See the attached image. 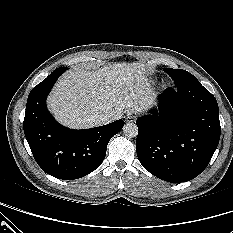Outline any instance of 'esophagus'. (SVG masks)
Instances as JSON below:
<instances>
[{
	"mask_svg": "<svg viewBox=\"0 0 233 233\" xmlns=\"http://www.w3.org/2000/svg\"><path fill=\"white\" fill-rule=\"evenodd\" d=\"M125 121L128 122V123L135 122V121H136V116L133 115V114H128V115L125 117Z\"/></svg>",
	"mask_w": 233,
	"mask_h": 233,
	"instance_id": "esophagus-1",
	"label": "esophagus"
}]
</instances>
